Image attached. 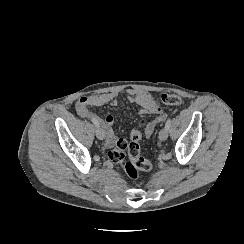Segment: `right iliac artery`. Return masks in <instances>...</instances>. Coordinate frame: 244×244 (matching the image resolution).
Here are the masks:
<instances>
[{"instance_id":"obj_1","label":"right iliac artery","mask_w":244,"mask_h":244,"mask_svg":"<svg viewBox=\"0 0 244 244\" xmlns=\"http://www.w3.org/2000/svg\"><path fill=\"white\" fill-rule=\"evenodd\" d=\"M92 122H93V124H94L95 126L99 127V122H98L97 119L92 118Z\"/></svg>"}]
</instances>
